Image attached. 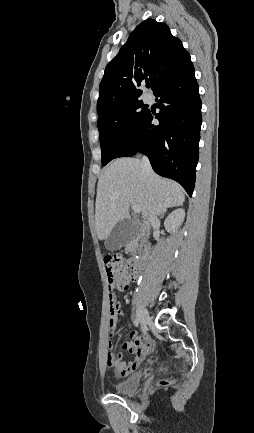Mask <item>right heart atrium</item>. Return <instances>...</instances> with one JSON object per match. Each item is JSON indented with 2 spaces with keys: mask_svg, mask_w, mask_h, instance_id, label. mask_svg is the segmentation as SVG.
Here are the masks:
<instances>
[{
  "mask_svg": "<svg viewBox=\"0 0 254 433\" xmlns=\"http://www.w3.org/2000/svg\"><path fill=\"white\" fill-rule=\"evenodd\" d=\"M120 133L123 138L129 137L130 130L127 124L122 125Z\"/></svg>",
  "mask_w": 254,
  "mask_h": 433,
  "instance_id": "1",
  "label": "right heart atrium"
}]
</instances>
